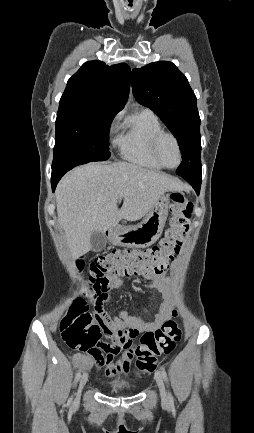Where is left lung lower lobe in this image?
Listing matches in <instances>:
<instances>
[{"label":"left lung lower lobe","instance_id":"obj_1","mask_svg":"<svg viewBox=\"0 0 254 433\" xmlns=\"http://www.w3.org/2000/svg\"><path fill=\"white\" fill-rule=\"evenodd\" d=\"M183 178L192 185V187L195 189L197 195H199L202 178L201 177H194V176H183Z\"/></svg>","mask_w":254,"mask_h":433}]
</instances>
